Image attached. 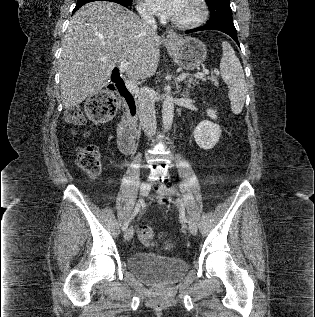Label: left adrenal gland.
Segmentation results:
<instances>
[{
	"label": "left adrenal gland",
	"instance_id": "left-adrenal-gland-1",
	"mask_svg": "<svg viewBox=\"0 0 315 317\" xmlns=\"http://www.w3.org/2000/svg\"><path fill=\"white\" fill-rule=\"evenodd\" d=\"M177 90H178V92H181V87H180V85H178L177 84ZM181 95L182 96H189V92L186 90V91H183L182 93H181Z\"/></svg>",
	"mask_w": 315,
	"mask_h": 317
}]
</instances>
